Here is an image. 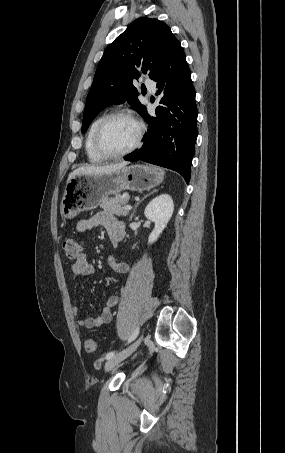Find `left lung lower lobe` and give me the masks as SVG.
Here are the masks:
<instances>
[{
	"label": "left lung lower lobe",
	"instance_id": "1",
	"mask_svg": "<svg viewBox=\"0 0 285 453\" xmlns=\"http://www.w3.org/2000/svg\"><path fill=\"white\" fill-rule=\"evenodd\" d=\"M161 94V106L151 116L141 114L149 130L143 146L124 157L127 161L142 160L180 173L189 183L191 161L197 139V107L191 72L185 53L178 44L170 52L160 72L153 78Z\"/></svg>",
	"mask_w": 285,
	"mask_h": 453
}]
</instances>
